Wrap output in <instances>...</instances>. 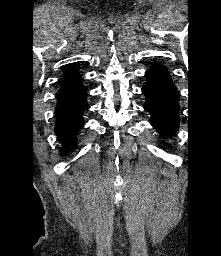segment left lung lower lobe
Segmentation results:
<instances>
[{
  "mask_svg": "<svg viewBox=\"0 0 221 256\" xmlns=\"http://www.w3.org/2000/svg\"><path fill=\"white\" fill-rule=\"evenodd\" d=\"M148 82L142 88L147 101L144 109L152 116V126L164 137L174 134L178 127V91L173 84L168 71L155 64L146 71Z\"/></svg>",
  "mask_w": 221,
  "mask_h": 256,
  "instance_id": "obj_1",
  "label": "left lung lower lobe"
}]
</instances>
